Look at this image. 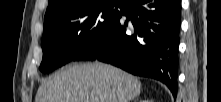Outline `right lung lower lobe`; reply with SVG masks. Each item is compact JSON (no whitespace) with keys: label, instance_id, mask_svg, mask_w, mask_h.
<instances>
[{"label":"right lung lower lobe","instance_id":"right-lung-lower-lobe-1","mask_svg":"<svg viewBox=\"0 0 221 102\" xmlns=\"http://www.w3.org/2000/svg\"><path fill=\"white\" fill-rule=\"evenodd\" d=\"M180 23V0H123L116 22L73 61L97 59L157 79L176 98Z\"/></svg>","mask_w":221,"mask_h":102}]
</instances>
